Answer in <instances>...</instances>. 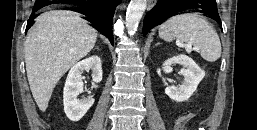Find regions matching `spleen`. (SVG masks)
<instances>
[{
	"instance_id": "obj_1",
	"label": "spleen",
	"mask_w": 257,
	"mask_h": 130,
	"mask_svg": "<svg viewBox=\"0 0 257 130\" xmlns=\"http://www.w3.org/2000/svg\"><path fill=\"white\" fill-rule=\"evenodd\" d=\"M159 36L167 42L174 39L180 44L200 50L201 57L215 62L221 56V43L214 28L197 13L171 17L159 27Z\"/></svg>"
}]
</instances>
